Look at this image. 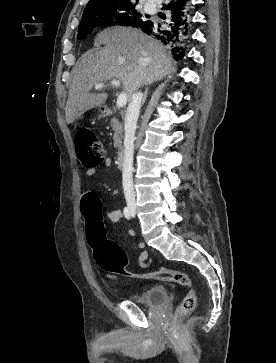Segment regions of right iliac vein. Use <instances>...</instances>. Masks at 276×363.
Returning a JSON list of instances; mask_svg holds the SVG:
<instances>
[{"label": "right iliac vein", "instance_id": "right-iliac-vein-1", "mask_svg": "<svg viewBox=\"0 0 276 363\" xmlns=\"http://www.w3.org/2000/svg\"><path fill=\"white\" fill-rule=\"evenodd\" d=\"M130 210H131L133 213H135V212H136V208H135V206H130Z\"/></svg>", "mask_w": 276, "mask_h": 363}]
</instances>
